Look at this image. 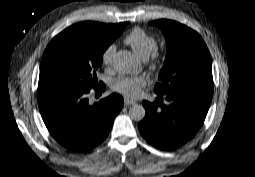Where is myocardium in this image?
Instances as JSON below:
<instances>
[{
    "label": "myocardium",
    "mask_w": 255,
    "mask_h": 177,
    "mask_svg": "<svg viewBox=\"0 0 255 177\" xmlns=\"http://www.w3.org/2000/svg\"><path fill=\"white\" fill-rule=\"evenodd\" d=\"M147 59L148 70L156 71L161 65L162 53L158 48H155Z\"/></svg>",
    "instance_id": "1"
}]
</instances>
